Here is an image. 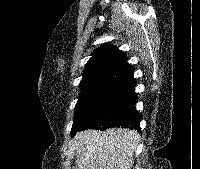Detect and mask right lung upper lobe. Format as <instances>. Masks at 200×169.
I'll return each instance as SVG.
<instances>
[{"label": "right lung upper lobe", "instance_id": "cb5924a9", "mask_svg": "<svg viewBox=\"0 0 200 169\" xmlns=\"http://www.w3.org/2000/svg\"><path fill=\"white\" fill-rule=\"evenodd\" d=\"M133 78V67L117 47L103 44L92 52L80 82L81 90L103 84H121Z\"/></svg>", "mask_w": 200, "mask_h": 169}]
</instances>
